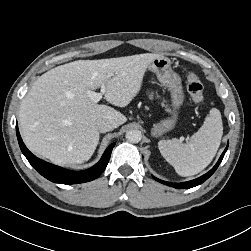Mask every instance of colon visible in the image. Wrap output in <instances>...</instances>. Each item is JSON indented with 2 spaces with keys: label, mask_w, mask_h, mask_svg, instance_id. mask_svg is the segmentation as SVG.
<instances>
[{
  "label": "colon",
  "mask_w": 251,
  "mask_h": 251,
  "mask_svg": "<svg viewBox=\"0 0 251 251\" xmlns=\"http://www.w3.org/2000/svg\"><path fill=\"white\" fill-rule=\"evenodd\" d=\"M186 88L194 103L201 105L204 102L203 85L195 73L188 72L186 76Z\"/></svg>",
  "instance_id": "obj_1"
}]
</instances>
